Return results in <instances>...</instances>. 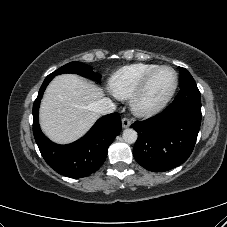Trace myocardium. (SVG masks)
<instances>
[{
	"instance_id": "f54148a6",
	"label": "myocardium",
	"mask_w": 227,
	"mask_h": 227,
	"mask_svg": "<svg viewBox=\"0 0 227 227\" xmlns=\"http://www.w3.org/2000/svg\"><path fill=\"white\" fill-rule=\"evenodd\" d=\"M162 69H170L175 74V82L171 90L157 103L153 105H146L143 103V97L146 93V90L152 81L153 77ZM179 84V75L178 72L169 65H159L149 73L145 75V77L141 80L135 91L133 92L132 96L130 97V106L132 111L140 116V117H152L161 111H163L167 105L172 100L177 87Z\"/></svg>"
}]
</instances>
